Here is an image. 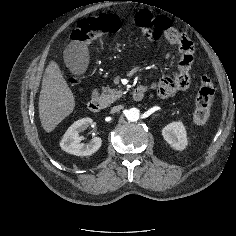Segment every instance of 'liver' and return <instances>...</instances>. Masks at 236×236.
Here are the masks:
<instances>
[{"mask_svg": "<svg viewBox=\"0 0 236 236\" xmlns=\"http://www.w3.org/2000/svg\"><path fill=\"white\" fill-rule=\"evenodd\" d=\"M39 117L43 129L50 133L75 108V99L59 65L51 61L46 67L39 96Z\"/></svg>", "mask_w": 236, "mask_h": 236, "instance_id": "obj_1", "label": "liver"}]
</instances>
